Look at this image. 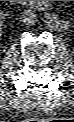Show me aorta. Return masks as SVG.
<instances>
[{
	"instance_id": "obj_1",
	"label": "aorta",
	"mask_w": 74,
	"mask_h": 122,
	"mask_svg": "<svg viewBox=\"0 0 74 122\" xmlns=\"http://www.w3.org/2000/svg\"><path fill=\"white\" fill-rule=\"evenodd\" d=\"M45 23L49 29H56L58 27V17L55 14L48 15Z\"/></svg>"
}]
</instances>
